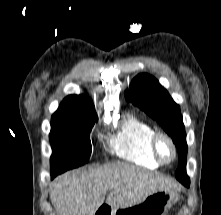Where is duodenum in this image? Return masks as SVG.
<instances>
[{
	"mask_svg": "<svg viewBox=\"0 0 221 215\" xmlns=\"http://www.w3.org/2000/svg\"><path fill=\"white\" fill-rule=\"evenodd\" d=\"M111 214V208L109 206H102L98 209L95 215H110Z\"/></svg>",
	"mask_w": 221,
	"mask_h": 215,
	"instance_id": "1",
	"label": "duodenum"
}]
</instances>
